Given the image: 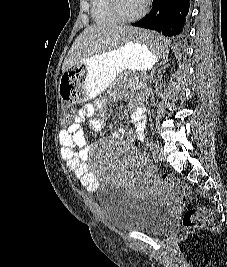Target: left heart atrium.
<instances>
[{
	"instance_id": "left-heart-atrium-1",
	"label": "left heart atrium",
	"mask_w": 227,
	"mask_h": 267,
	"mask_svg": "<svg viewBox=\"0 0 227 267\" xmlns=\"http://www.w3.org/2000/svg\"><path fill=\"white\" fill-rule=\"evenodd\" d=\"M143 3H145L147 0H141Z\"/></svg>"
}]
</instances>
